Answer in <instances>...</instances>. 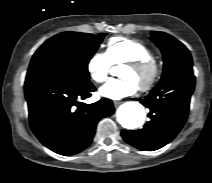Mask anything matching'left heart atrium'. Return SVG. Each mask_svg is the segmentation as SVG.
I'll use <instances>...</instances> for the list:
<instances>
[{"label": "left heart atrium", "mask_w": 212, "mask_h": 183, "mask_svg": "<svg viewBox=\"0 0 212 183\" xmlns=\"http://www.w3.org/2000/svg\"><path fill=\"white\" fill-rule=\"evenodd\" d=\"M137 90V84L131 80H111L99 89V94L111 100H120L134 95Z\"/></svg>", "instance_id": "left-heart-atrium-1"}]
</instances>
